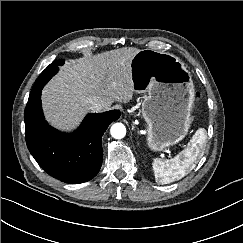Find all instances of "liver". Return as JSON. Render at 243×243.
I'll return each mask as SVG.
<instances>
[{
    "label": "liver",
    "mask_w": 243,
    "mask_h": 243,
    "mask_svg": "<svg viewBox=\"0 0 243 243\" xmlns=\"http://www.w3.org/2000/svg\"><path fill=\"white\" fill-rule=\"evenodd\" d=\"M139 51L123 47L67 62L42 92L47 121L62 130L74 128L89 110L84 100L90 96L104 100L105 109L129 102L135 91L131 61Z\"/></svg>",
    "instance_id": "liver-1"
}]
</instances>
